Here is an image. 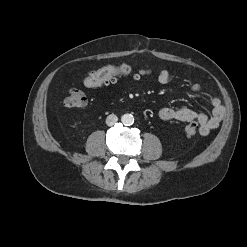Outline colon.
<instances>
[{
  "label": "colon",
  "mask_w": 247,
  "mask_h": 247,
  "mask_svg": "<svg viewBox=\"0 0 247 247\" xmlns=\"http://www.w3.org/2000/svg\"><path fill=\"white\" fill-rule=\"evenodd\" d=\"M148 74L146 70H134L132 67L126 64L122 65H109L91 72L83 81L85 88H95L103 84L110 83L117 76H129L134 75L140 77ZM87 98L85 93L80 89H71L69 94L64 100V104L69 108H79L86 104ZM184 131L187 135L192 136L198 132V126L195 123H191L185 126Z\"/></svg>",
  "instance_id": "5ec220e1"
}]
</instances>
